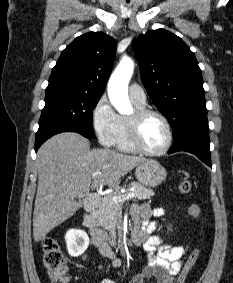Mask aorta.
I'll return each mask as SVG.
<instances>
[{
	"label": "aorta",
	"instance_id": "1",
	"mask_svg": "<svg viewBox=\"0 0 233 283\" xmlns=\"http://www.w3.org/2000/svg\"><path fill=\"white\" fill-rule=\"evenodd\" d=\"M133 71V60L125 57L120 61L108 82L109 100L120 114H130L133 111L128 97V84Z\"/></svg>",
	"mask_w": 233,
	"mask_h": 283
}]
</instances>
